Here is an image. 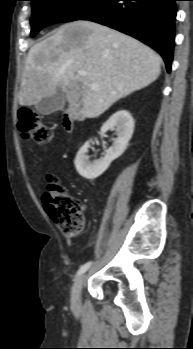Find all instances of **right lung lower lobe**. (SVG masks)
Returning <instances> with one entry per match:
<instances>
[{"label": "right lung lower lobe", "instance_id": "right-lung-lower-lobe-1", "mask_svg": "<svg viewBox=\"0 0 193 349\" xmlns=\"http://www.w3.org/2000/svg\"><path fill=\"white\" fill-rule=\"evenodd\" d=\"M177 0H101L80 18L111 27L153 47L170 72Z\"/></svg>", "mask_w": 193, "mask_h": 349}]
</instances>
